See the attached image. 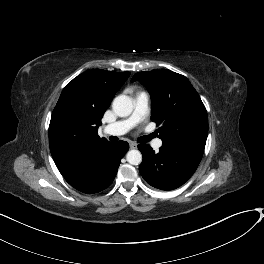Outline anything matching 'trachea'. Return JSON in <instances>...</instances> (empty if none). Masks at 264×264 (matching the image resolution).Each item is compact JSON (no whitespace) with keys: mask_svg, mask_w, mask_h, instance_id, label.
<instances>
[{"mask_svg":"<svg viewBox=\"0 0 264 264\" xmlns=\"http://www.w3.org/2000/svg\"><path fill=\"white\" fill-rule=\"evenodd\" d=\"M154 137V135L153 134H151V135H149V136H146V137H144L143 138V142H148L151 138H153ZM109 140L110 141H116L115 140V137H113V136H110L109 137Z\"/></svg>","mask_w":264,"mask_h":264,"instance_id":"1","label":"trachea"}]
</instances>
